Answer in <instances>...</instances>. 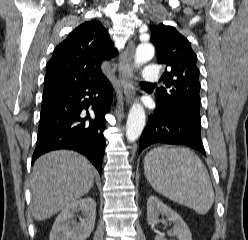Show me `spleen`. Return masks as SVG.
Instances as JSON below:
<instances>
[{"label":"spleen","instance_id":"spleen-1","mask_svg":"<svg viewBox=\"0 0 248 240\" xmlns=\"http://www.w3.org/2000/svg\"><path fill=\"white\" fill-rule=\"evenodd\" d=\"M144 172L155 191L200 215L208 213L214 203L209 173L188 148L152 149L144 158Z\"/></svg>","mask_w":248,"mask_h":240}]
</instances>
